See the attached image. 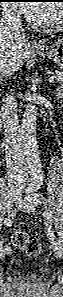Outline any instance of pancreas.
Wrapping results in <instances>:
<instances>
[{
  "instance_id": "cf45deb5",
  "label": "pancreas",
  "mask_w": 63,
  "mask_h": 297,
  "mask_svg": "<svg viewBox=\"0 0 63 297\" xmlns=\"http://www.w3.org/2000/svg\"><path fill=\"white\" fill-rule=\"evenodd\" d=\"M57 77L56 83H59L60 85H62V81H63V73L62 72H55V75ZM60 78V79H59Z\"/></svg>"
}]
</instances>
